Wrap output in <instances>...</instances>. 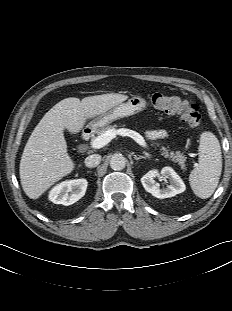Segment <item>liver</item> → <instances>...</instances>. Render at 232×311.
Here are the masks:
<instances>
[{
    "label": "liver",
    "mask_w": 232,
    "mask_h": 311,
    "mask_svg": "<svg viewBox=\"0 0 232 311\" xmlns=\"http://www.w3.org/2000/svg\"><path fill=\"white\" fill-rule=\"evenodd\" d=\"M127 98V95L108 93L85 97L81 101L69 97L54 105L40 120L24 147L19 174L25 194L37 199L73 171L75 164L67 152L65 128L76 134L87 119L106 113Z\"/></svg>",
    "instance_id": "obj_1"
}]
</instances>
